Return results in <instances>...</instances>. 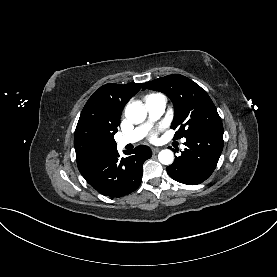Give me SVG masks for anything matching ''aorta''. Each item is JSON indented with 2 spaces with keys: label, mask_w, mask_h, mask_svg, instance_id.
Here are the masks:
<instances>
[{
  "label": "aorta",
  "mask_w": 277,
  "mask_h": 277,
  "mask_svg": "<svg viewBox=\"0 0 277 277\" xmlns=\"http://www.w3.org/2000/svg\"><path fill=\"white\" fill-rule=\"evenodd\" d=\"M125 116L128 121L139 124L146 119L147 111L140 102H133L125 109ZM158 160L164 165L173 163L174 155L169 149L161 150L158 154Z\"/></svg>",
  "instance_id": "762f6f07"
}]
</instances>
